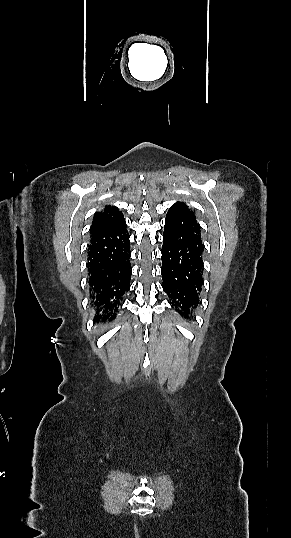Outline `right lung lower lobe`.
<instances>
[{
  "label": "right lung lower lobe",
  "mask_w": 291,
  "mask_h": 538,
  "mask_svg": "<svg viewBox=\"0 0 291 538\" xmlns=\"http://www.w3.org/2000/svg\"><path fill=\"white\" fill-rule=\"evenodd\" d=\"M87 268L97 316L113 319L130 288L129 233L125 221L91 234Z\"/></svg>",
  "instance_id": "1"
}]
</instances>
